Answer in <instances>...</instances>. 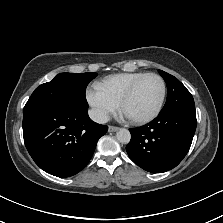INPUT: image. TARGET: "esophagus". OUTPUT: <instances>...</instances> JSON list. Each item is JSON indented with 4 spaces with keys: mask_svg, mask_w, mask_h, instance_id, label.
Segmentation results:
<instances>
[{
    "mask_svg": "<svg viewBox=\"0 0 223 223\" xmlns=\"http://www.w3.org/2000/svg\"><path fill=\"white\" fill-rule=\"evenodd\" d=\"M119 129V127H116V126H109V129H108V131L109 132H115V131H117Z\"/></svg>",
    "mask_w": 223,
    "mask_h": 223,
    "instance_id": "esophagus-1",
    "label": "esophagus"
}]
</instances>
